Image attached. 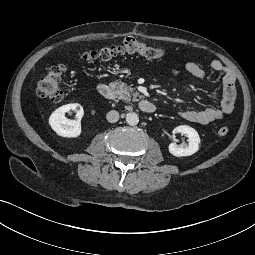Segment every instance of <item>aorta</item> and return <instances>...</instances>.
Masks as SVG:
<instances>
[{
    "mask_svg": "<svg viewBox=\"0 0 255 255\" xmlns=\"http://www.w3.org/2000/svg\"><path fill=\"white\" fill-rule=\"evenodd\" d=\"M126 122L128 125L130 126H135L138 124L139 122V117L138 114H136L135 112H130L126 115Z\"/></svg>",
    "mask_w": 255,
    "mask_h": 255,
    "instance_id": "obj_1",
    "label": "aorta"
}]
</instances>
